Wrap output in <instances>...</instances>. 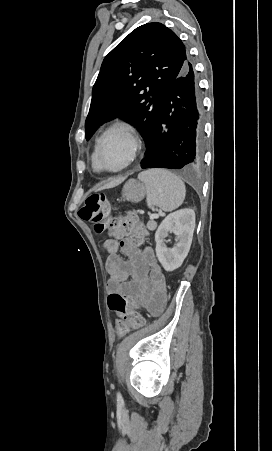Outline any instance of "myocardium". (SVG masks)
<instances>
[{
    "label": "myocardium",
    "mask_w": 272,
    "mask_h": 451,
    "mask_svg": "<svg viewBox=\"0 0 272 451\" xmlns=\"http://www.w3.org/2000/svg\"><path fill=\"white\" fill-rule=\"evenodd\" d=\"M112 133H118L125 139L127 146H128L129 154H128V159H127L126 163L124 164V166L118 170L111 171V172H113V173L122 172L123 170L127 169L131 165V163L134 161V159L136 157L138 142H137V138L134 134L133 129H131L129 126H127L125 124H114V125L110 126L109 128H107L102 133V135L99 137V139L97 141V144L95 147V152L93 155V162H94L95 169L97 171H100V172L110 171V170H106L102 166H100V164L98 162V157L100 154V150L103 146V143L105 142L106 138Z\"/></svg>",
    "instance_id": "f54148a6"
}]
</instances>
